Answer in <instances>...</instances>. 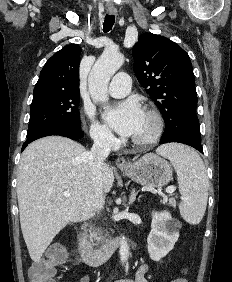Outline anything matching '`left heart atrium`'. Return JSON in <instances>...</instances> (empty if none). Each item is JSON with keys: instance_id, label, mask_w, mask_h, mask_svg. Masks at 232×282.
I'll list each match as a JSON object with an SVG mask.
<instances>
[{"instance_id": "1", "label": "left heart atrium", "mask_w": 232, "mask_h": 282, "mask_svg": "<svg viewBox=\"0 0 232 282\" xmlns=\"http://www.w3.org/2000/svg\"><path fill=\"white\" fill-rule=\"evenodd\" d=\"M103 117L120 135L130 137L139 129L144 117V111L137 100L127 99L107 109Z\"/></svg>"}]
</instances>
